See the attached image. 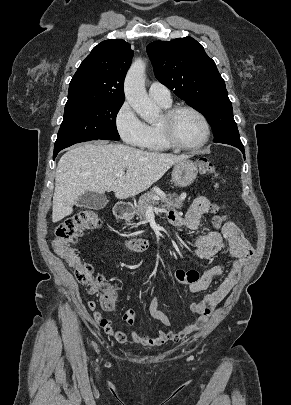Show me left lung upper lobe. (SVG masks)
Listing matches in <instances>:
<instances>
[{"instance_id": "obj_1", "label": "left lung upper lobe", "mask_w": 291, "mask_h": 405, "mask_svg": "<svg viewBox=\"0 0 291 405\" xmlns=\"http://www.w3.org/2000/svg\"><path fill=\"white\" fill-rule=\"evenodd\" d=\"M147 53L156 78L207 118L215 143L242 145L225 82L200 43L191 37L154 41Z\"/></svg>"}]
</instances>
